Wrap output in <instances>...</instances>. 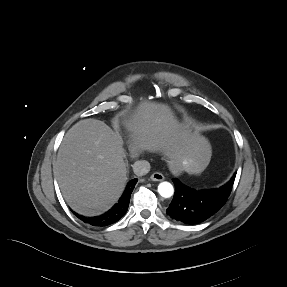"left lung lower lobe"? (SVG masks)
Returning <instances> with one entry per match:
<instances>
[{
  "mask_svg": "<svg viewBox=\"0 0 287 287\" xmlns=\"http://www.w3.org/2000/svg\"><path fill=\"white\" fill-rule=\"evenodd\" d=\"M236 174L224 186L211 190H194L173 179L175 194L167 214L174 220L196 224L215 214L230 195Z\"/></svg>",
  "mask_w": 287,
  "mask_h": 287,
  "instance_id": "left-lung-lower-lobe-1",
  "label": "left lung lower lobe"
}]
</instances>
